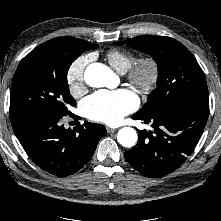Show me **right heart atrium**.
<instances>
[{
  "label": "right heart atrium",
  "instance_id": "1",
  "mask_svg": "<svg viewBox=\"0 0 221 221\" xmlns=\"http://www.w3.org/2000/svg\"><path fill=\"white\" fill-rule=\"evenodd\" d=\"M89 61L88 56H80L69 66L66 73V82L70 93L75 96H81L86 89L85 68Z\"/></svg>",
  "mask_w": 221,
  "mask_h": 221
}]
</instances>
